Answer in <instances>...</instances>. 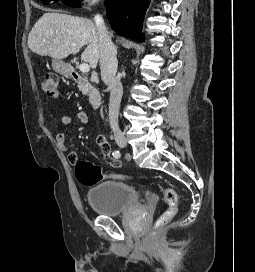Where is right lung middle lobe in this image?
Segmentation results:
<instances>
[{
	"instance_id": "obj_1",
	"label": "right lung middle lobe",
	"mask_w": 255,
	"mask_h": 272,
	"mask_svg": "<svg viewBox=\"0 0 255 272\" xmlns=\"http://www.w3.org/2000/svg\"><path fill=\"white\" fill-rule=\"evenodd\" d=\"M44 4H48L51 1H58V0H41ZM63 2H65L67 5L70 6H77V1L76 0H62Z\"/></svg>"
}]
</instances>
